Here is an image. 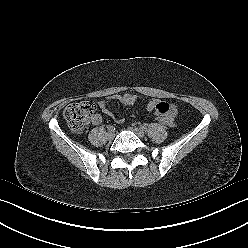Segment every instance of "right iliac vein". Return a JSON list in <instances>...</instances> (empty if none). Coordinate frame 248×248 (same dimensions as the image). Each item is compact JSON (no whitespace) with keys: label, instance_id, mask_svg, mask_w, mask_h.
I'll list each match as a JSON object with an SVG mask.
<instances>
[{"label":"right iliac vein","instance_id":"63e3f726","mask_svg":"<svg viewBox=\"0 0 248 248\" xmlns=\"http://www.w3.org/2000/svg\"><path fill=\"white\" fill-rule=\"evenodd\" d=\"M114 136H115L114 131H108V133H107V137H108V139H113V138H114Z\"/></svg>","mask_w":248,"mask_h":248}]
</instances>
